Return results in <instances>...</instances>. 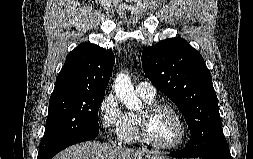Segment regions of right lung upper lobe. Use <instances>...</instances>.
<instances>
[{
	"label": "right lung upper lobe",
	"instance_id": "obj_1",
	"mask_svg": "<svg viewBox=\"0 0 253 159\" xmlns=\"http://www.w3.org/2000/svg\"><path fill=\"white\" fill-rule=\"evenodd\" d=\"M114 62L111 50L81 43L67 56L50 98L82 92L105 93Z\"/></svg>",
	"mask_w": 253,
	"mask_h": 159
}]
</instances>
